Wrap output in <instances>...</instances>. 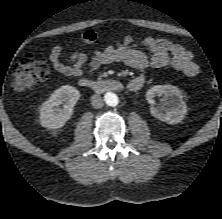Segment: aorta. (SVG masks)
<instances>
[{"label":"aorta","mask_w":222,"mask_h":219,"mask_svg":"<svg viewBox=\"0 0 222 219\" xmlns=\"http://www.w3.org/2000/svg\"><path fill=\"white\" fill-rule=\"evenodd\" d=\"M105 102L109 106H116L118 105L119 99L115 93L108 92L105 94Z\"/></svg>","instance_id":"1"}]
</instances>
